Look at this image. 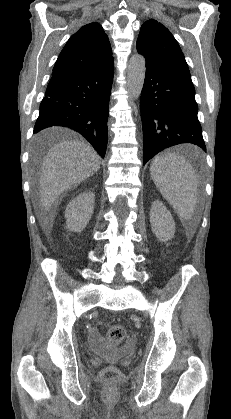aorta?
<instances>
[{"mask_svg":"<svg viewBox=\"0 0 231 419\" xmlns=\"http://www.w3.org/2000/svg\"><path fill=\"white\" fill-rule=\"evenodd\" d=\"M146 72V61L142 55H133L128 63L127 90L130 100L138 99L141 94Z\"/></svg>","mask_w":231,"mask_h":419,"instance_id":"obj_1","label":"aorta"}]
</instances>
